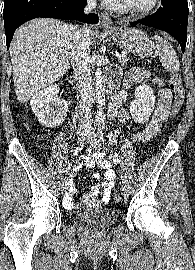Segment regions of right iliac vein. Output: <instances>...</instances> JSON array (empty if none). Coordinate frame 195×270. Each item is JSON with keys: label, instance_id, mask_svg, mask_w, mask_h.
Here are the masks:
<instances>
[{"label": "right iliac vein", "instance_id": "1", "mask_svg": "<svg viewBox=\"0 0 195 270\" xmlns=\"http://www.w3.org/2000/svg\"><path fill=\"white\" fill-rule=\"evenodd\" d=\"M87 135H88V133L86 132V131H79L78 133H77V140L79 141V142H82L83 140H85L86 138H87ZM69 182H68V179H65L63 182H62V185H61V188H62V191L63 192H66L67 190H68V184Z\"/></svg>", "mask_w": 195, "mask_h": 270}]
</instances>
